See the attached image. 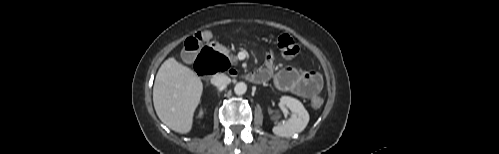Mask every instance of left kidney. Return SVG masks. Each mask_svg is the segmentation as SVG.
<instances>
[{"instance_id": "1", "label": "left kidney", "mask_w": 499, "mask_h": 154, "mask_svg": "<svg viewBox=\"0 0 499 154\" xmlns=\"http://www.w3.org/2000/svg\"><path fill=\"white\" fill-rule=\"evenodd\" d=\"M280 104L289 108L292 114L289 120L274 126L273 133L281 137H292L302 132L309 122V114L303 104L289 96H282Z\"/></svg>"}]
</instances>
